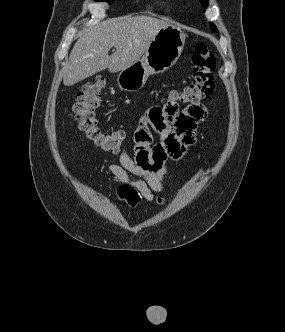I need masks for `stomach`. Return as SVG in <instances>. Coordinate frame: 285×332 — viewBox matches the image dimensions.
I'll use <instances>...</instances> for the list:
<instances>
[{"label":"stomach","instance_id":"obj_1","mask_svg":"<svg viewBox=\"0 0 285 332\" xmlns=\"http://www.w3.org/2000/svg\"><path fill=\"white\" fill-rule=\"evenodd\" d=\"M185 44L182 30L170 25L153 38L142 59L122 70L117 83L121 90L133 92L144 87L149 75L163 73L179 59Z\"/></svg>","mask_w":285,"mask_h":332}]
</instances>
